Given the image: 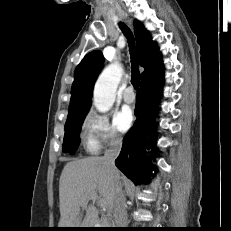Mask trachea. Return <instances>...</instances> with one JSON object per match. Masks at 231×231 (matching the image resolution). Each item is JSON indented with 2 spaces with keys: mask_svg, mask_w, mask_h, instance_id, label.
<instances>
[{
  "mask_svg": "<svg viewBox=\"0 0 231 231\" xmlns=\"http://www.w3.org/2000/svg\"><path fill=\"white\" fill-rule=\"evenodd\" d=\"M119 26L124 33V35L127 37V41L129 44V50L131 54V69H132V75H131V83L134 86L135 89L139 88V83H140V73H139V65L136 57V52H135V42H134V37L131 32V30L124 24V23H119Z\"/></svg>",
  "mask_w": 231,
  "mask_h": 231,
  "instance_id": "trachea-1",
  "label": "trachea"
}]
</instances>
